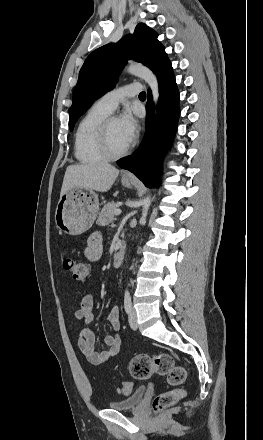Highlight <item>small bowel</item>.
Returning a JSON list of instances; mask_svg holds the SVG:
<instances>
[{"label":"small bowel","mask_w":263,"mask_h":440,"mask_svg":"<svg viewBox=\"0 0 263 440\" xmlns=\"http://www.w3.org/2000/svg\"><path fill=\"white\" fill-rule=\"evenodd\" d=\"M103 252V237L99 232L92 233L84 249L85 257L90 261H98ZM94 297L92 294H86L82 300L79 309L76 312V318L84 321L86 327L80 332L77 338V346L83 356L92 365H101L110 362L119 352L121 338L120 329V311L117 306H113L109 312L108 320L112 326L113 333L105 336L104 344L106 348L102 351L95 349V335L91 328L94 319Z\"/></svg>","instance_id":"obj_1"}]
</instances>
